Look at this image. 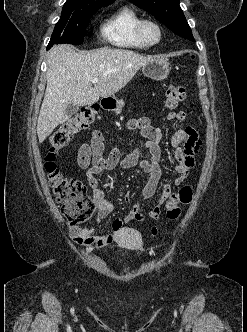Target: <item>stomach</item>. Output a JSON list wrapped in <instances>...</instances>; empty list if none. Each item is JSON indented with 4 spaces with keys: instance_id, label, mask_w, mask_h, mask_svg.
<instances>
[{
    "instance_id": "1",
    "label": "stomach",
    "mask_w": 247,
    "mask_h": 332,
    "mask_svg": "<svg viewBox=\"0 0 247 332\" xmlns=\"http://www.w3.org/2000/svg\"><path fill=\"white\" fill-rule=\"evenodd\" d=\"M142 72L146 77L154 80H164L169 75V63L163 58H154L142 67ZM112 99L111 106L118 105V101Z\"/></svg>"
}]
</instances>
